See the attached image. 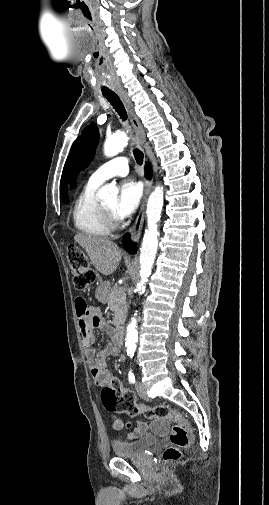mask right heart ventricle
Returning a JSON list of instances; mask_svg holds the SVG:
<instances>
[{"label": "right heart ventricle", "instance_id": "e07e8e85", "mask_svg": "<svg viewBox=\"0 0 269 505\" xmlns=\"http://www.w3.org/2000/svg\"><path fill=\"white\" fill-rule=\"evenodd\" d=\"M98 187L99 184L86 183L74 203L72 217L75 228L81 233L103 237L108 235L110 227L96 196Z\"/></svg>", "mask_w": 269, "mask_h": 505}]
</instances>
